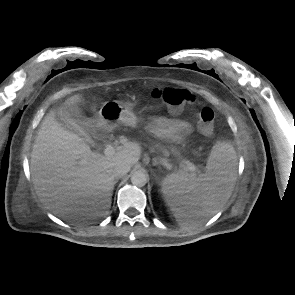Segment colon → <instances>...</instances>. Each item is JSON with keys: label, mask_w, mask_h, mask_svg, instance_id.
<instances>
[{"label": "colon", "mask_w": 295, "mask_h": 295, "mask_svg": "<svg viewBox=\"0 0 295 295\" xmlns=\"http://www.w3.org/2000/svg\"><path fill=\"white\" fill-rule=\"evenodd\" d=\"M151 98L161 102L173 112L181 111L194 102L193 95L185 89L154 88ZM215 114L210 108H203L199 114L198 128L203 135L210 136L214 132Z\"/></svg>", "instance_id": "1"}]
</instances>
